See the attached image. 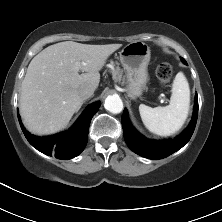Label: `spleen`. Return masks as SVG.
Instances as JSON below:
<instances>
[{
	"label": "spleen",
	"instance_id": "3e777b00",
	"mask_svg": "<svg viewBox=\"0 0 222 222\" xmlns=\"http://www.w3.org/2000/svg\"><path fill=\"white\" fill-rule=\"evenodd\" d=\"M189 106V84L184 74L179 72L173 81L169 105L152 108L141 104L139 112L145 127L150 132L160 136H169L179 131L184 125Z\"/></svg>",
	"mask_w": 222,
	"mask_h": 222
}]
</instances>
